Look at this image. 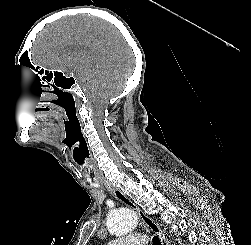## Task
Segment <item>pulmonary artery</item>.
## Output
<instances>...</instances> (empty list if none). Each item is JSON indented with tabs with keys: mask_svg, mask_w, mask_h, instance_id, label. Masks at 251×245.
I'll return each mask as SVG.
<instances>
[{
	"mask_svg": "<svg viewBox=\"0 0 251 245\" xmlns=\"http://www.w3.org/2000/svg\"><path fill=\"white\" fill-rule=\"evenodd\" d=\"M146 242H147L146 235L137 234V235L129 236L124 239L114 240L108 245H145Z\"/></svg>",
	"mask_w": 251,
	"mask_h": 245,
	"instance_id": "e3ab8cb5",
	"label": "pulmonary artery"
}]
</instances>
